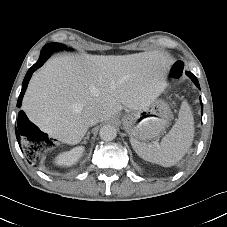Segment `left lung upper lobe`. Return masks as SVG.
<instances>
[{
    "label": "left lung upper lobe",
    "instance_id": "5c2ea615",
    "mask_svg": "<svg viewBox=\"0 0 227 227\" xmlns=\"http://www.w3.org/2000/svg\"><path fill=\"white\" fill-rule=\"evenodd\" d=\"M187 76L191 78V80L195 83L196 81L198 82L197 78L190 72L186 71Z\"/></svg>",
    "mask_w": 227,
    "mask_h": 227
}]
</instances>
